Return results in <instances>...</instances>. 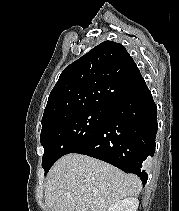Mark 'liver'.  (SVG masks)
I'll list each match as a JSON object with an SVG mask.
<instances>
[{
  "instance_id": "6515ba94",
  "label": "liver",
  "mask_w": 179,
  "mask_h": 211,
  "mask_svg": "<svg viewBox=\"0 0 179 211\" xmlns=\"http://www.w3.org/2000/svg\"><path fill=\"white\" fill-rule=\"evenodd\" d=\"M141 189L136 175L86 155L68 154L47 175L45 203L50 211H107Z\"/></svg>"
}]
</instances>
